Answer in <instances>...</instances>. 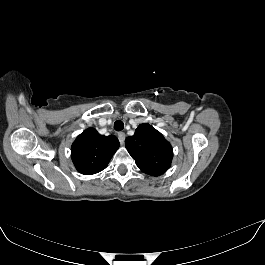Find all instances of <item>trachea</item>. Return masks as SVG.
<instances>
[{
  "mask_svg": "<svg viewBox=\"0 0 265 265\" xmlns=\"http://www.w3.org/2000/svg\"><path fill=\"white\" fill-rule=\"evenodd\" d=\"M124 128V123L121 121V120H117L115 123H114V129L116 131H121L123 130Z\"/></svg>",
  "mask_w": 265,
  "mask_h": 265,
  "instance_id": "obj_1",
  "label": "trachea"
}]
</instances>
